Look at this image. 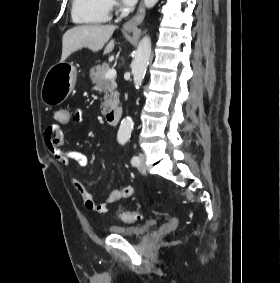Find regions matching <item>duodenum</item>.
I'll list each match as a JSON object with an SVG mask.
<instances>
[{"label": "duodenum", "instance_id": "duodenum-1", "mask_svg": "<svg viewBox=\"0 0 280 283\" xmlns=\"http://www.w3.org/2000/svg\"><path fill=\"white\" fill-rule=\"evenodd\" d=\"M122 114V108L117 106L108 110L105 114L106 121L109 125H117Z\"/></svg>", "mask_w": 280, "mask_h": 283}]
</instances>
